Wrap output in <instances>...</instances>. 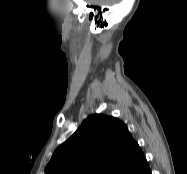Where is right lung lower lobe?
Instances as JSON below:
<instances>
[{
    "label": "right lung lower lobe",
    "mask_w": 187,
    "mask_h": 174,
    "mask_svg": "<svg viewBox=\"0 0 187 174\" xmlns=\"http://www.w3.org/2000/svg\"><path fill=\"white\" fill-rule=\"evenodd\" d=\"M143 174H151L150 170L147 171V172H144Z\"/></svg>",
    "instance_id": "obj_1"
}]
</instances>
